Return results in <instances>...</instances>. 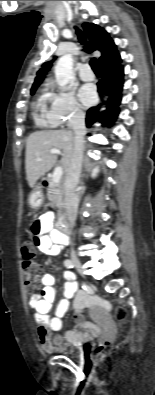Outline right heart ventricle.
Wrapping results in <instances>:
<instances>
[{
    "label": "right heart ventricle",
    "instance_id": "right-heart-ventricle-1",
    "mask_svg": "<svg viewBox=\"0 0 155 395\" xmlns=\"http://www.w3.org/2000/svg\"><path fill=\"white\" fill-rule=\"evenodd\" d=\"M49 101V93L43 91L35 103L34 119L38 126L53 127L49 118V111L47 110V102Z\"/></svg>",
    "mask_w": 155,
    "mask_h": 395
}]
</instances>
